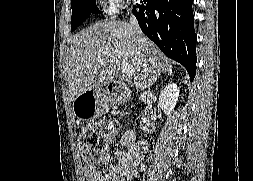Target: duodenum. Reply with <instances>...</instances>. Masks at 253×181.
<instances>
[{"label":"duodenum","instance_id":"410a0bca","mask_svg":"<svg viewBox=\"0 0 253 181\" xmlns=\"http://www.w3.org/2000/svg\"><path fill=\"white\" fill-rule=\"evenodd\" d=\"M107 96L112 102H120L127 97V90L124 84H114L107 86ZM155 129L154 124V114L149 111L147 116L145 117L143 124V131L145 133H151Z\"/></svg>","mask_w":253,"mask_h":181}]
</instances>
